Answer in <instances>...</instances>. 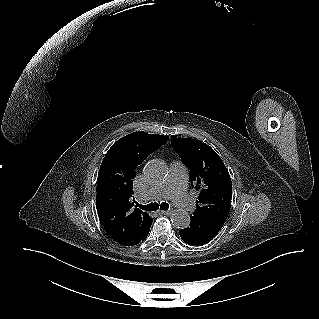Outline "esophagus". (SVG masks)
Here are the masks:
<instances>
[{
  "label": "esophagus",
  "instance_id": "esophagus-1",
  "mask_svg": "<svg viewBox=\"0 0 319 319\" xmlns=\"http://www.w3.org/2000/svg\"><path fill=\"white\" fill-rule=\"evenodd\" d=\"M160 213L163 214V215H170L171 211L162 210V211H160Z\"/></svg>",
  "mask_w": 319,
  "mask_h": 319
}]
</instances>
